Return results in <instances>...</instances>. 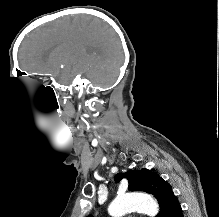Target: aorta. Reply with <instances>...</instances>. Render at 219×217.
<instances>
[{
    "label": "aorta",
    "instance_id": "aorta-1",
    "mask_svg": "<svg viewBox=\"0 0 219 217\" xmlns=\"http://www.w3.org/2000/svg\"><path fill=\"white\" fill-rule=\"evenodd\" d=\"M131 211H139L153 217L158 212L156 201L147 195H125L117 197L108 207L112 217H122Z\"/></svg>",
    "mask_w": 219,
    "mask_h": 217
}]
</instances>
